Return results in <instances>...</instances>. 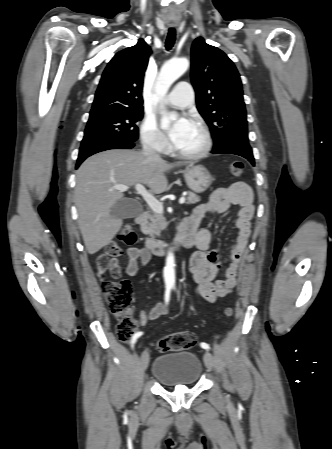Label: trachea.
Here are the masks:
<instances>
[{"instance_id": "1", "label": "trachea", "mask_w": 332, "mask_h": 449, "mask_svg": "<svg viewBox=\"0 0 332 449\" xmlns=\"http://www.w3.org/2000/svg\"><path fill=\"white\" fill-rule=\"evenodd\" d=\"M175 39H176L175 29L170 28L168 31L166 42H165V47L167 50H170L173 47V45L175 43Z\"/></svg>"}]
</instances>
